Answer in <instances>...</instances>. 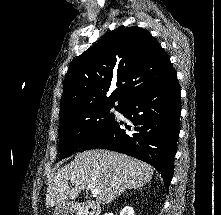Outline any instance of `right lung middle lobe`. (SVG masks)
Returning <instances> with one entry per match:
<instances>
[{"label": "right lung middle lobe", "mask_w": 221, "mask_h": 215, "mask_svg": "<svg viewBox=\"0 0 221 215\" xmlns=\"http://www.w3.org/2000/svg\"><path fill=\"white\" fill-rule=\"evenodd\" d=\"M111 108L97 107L61 119L59 125L61 158L68 157L88 137L110 125L114 121L113 114H109Z\"/></svg>", "instance_id": "1"}]
</instances>
